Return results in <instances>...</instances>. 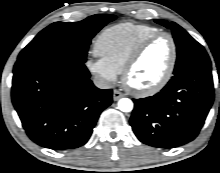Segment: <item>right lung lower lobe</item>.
Here are the masks:
<instances>
[{
	"label": "right lung lower lobe",
	"instance_id": "1",
	"mask_svg": "<svg viewBox=\"0 0 220 173\" xmlns=\"http://www.w3.org/2000/svg\"><path fill=\"white\" fill-rule=\"evenodd\" d=\"M84 62L64 51L18 58L12 102L36 144L53 150L83 146L112 103V90L95 87Z\"/></svg>",
	"mask_w": 220,
	"mask_h": 173
}]
</instances>
